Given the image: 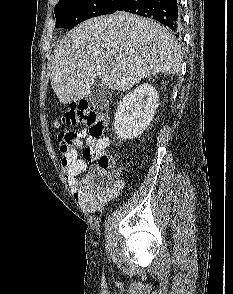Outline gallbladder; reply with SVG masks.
Masks as SVG:
<instances>
[{"instance_id":"1","label":"gallbladder","mask_w":233,"mask_h":294,"mask_svg":"<svg viewBox=\"0 0 233 294\" xmlns=\"http://www.w3.org/2000/svg\"><path fill=\"white\" fill-rule=\"evenodd\" d=\"M91 105L97 108H105L111 99L110 89L101 80L96 81L91 93L87 96Z\"/></svg>"}]
</instances>
